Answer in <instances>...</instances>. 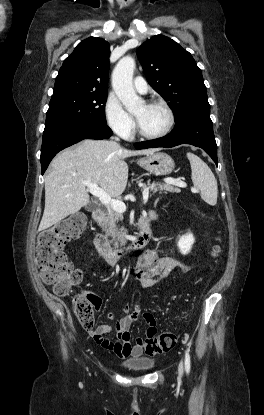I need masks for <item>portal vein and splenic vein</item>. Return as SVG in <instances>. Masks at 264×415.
I'll return each mask as SVG.
<instances>
[{
  "label": "portal vein and splenic vein",
  "instance_id": "portal-vein-and-splenic-vein-1",
  "mask_svg": "<svg viewBox=\"0 0 264 415\" xmlns=\"http://www.w3.org/2000/svg\"><path fill=\"white\" fill-rule=\"evenodd\" d=\"M165 182L167 184H173L177 187L186 188L187 184L180 180L175 179H166ZM87 186V189L89 192L99 198L102 204H104L107 207L112 208L116 212L123 213L126 211V205L124 202L120 200L112 199L111 196H109L102 188L98 186L96 183L91 182H83ZM143 202L146 203L148 200L149 195V189H144L143 193Z\"/></svg>",
  "mask_w": 264,
  "mask_h": 415
}]
</instances>
